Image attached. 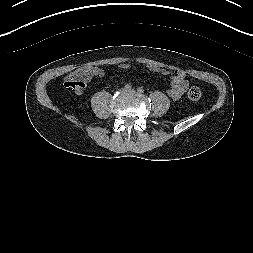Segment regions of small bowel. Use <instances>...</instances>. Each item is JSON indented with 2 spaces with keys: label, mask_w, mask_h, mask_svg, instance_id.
Instances as JSON below:
<instances>
[{
  "label": "small bowel",
  "mask_w": 253,
  "mask_h": 253,
  "mask_svg": "<svg viewBox=\"0 0 253 253\" xmlns=\"http://www.w3.org/2000/svg\"><path fill=\"white\" fill-rule=\"evenodd\" d=\"M120 67L128 68L129 64L124 63L121 64ZM93 73L99 77L104 76V71L99 68H94ZM161 73L171 75L170 87L168 88L167 93L172 99L176 100L185 93L189 83L186 74L183 71L161 70ZM76 93L82 94L83 91H77Z\"/></svg>",
  "instance_id": "obj_1"
}]
</instances>
